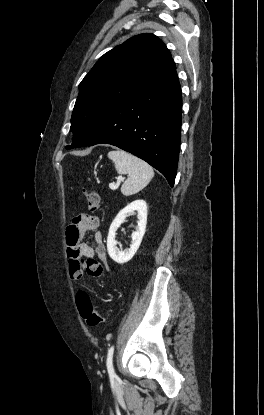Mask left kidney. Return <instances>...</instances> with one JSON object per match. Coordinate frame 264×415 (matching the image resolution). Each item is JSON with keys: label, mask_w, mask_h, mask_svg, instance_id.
Masks as SVG:
<instances>
[{"label": "left kidney", "mask_w": 264, "mask_h": 415, "mask_svg": "<svg viewBox=\"0 0 264 415\" xmlns=\"http://www.w3.org/2000/svg\"><path fill=\"white\" fill-rule=\"evenodd\" d=\"M137 211V227L136 231L132 233V244L129 249L122 250L117 247L115 235L117 229L125 221L126 217L132 215ZM147 223V204L144 200H135L123 208L115 217L110 225L107 237V250L109 256L117 263L124 264L130 261L137 252L142 238L145 234Z\"/></svg>", "instance_id": "5707ae66"}]
</instances>
